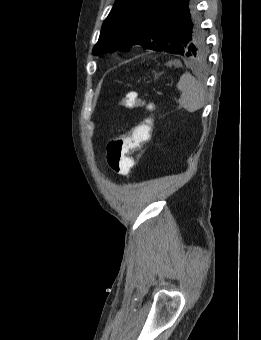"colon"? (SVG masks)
Here are the masks:
<instances>
[{"instance_id": "obj_1", "label": "colon", "mask_w": 261, "mask_h": 340, "mask_svg": "<svg viewBox=\"0 0 261 340\" xmlns=\"http://www.w3.org/2000/svg\"><path fill=\"white\" fill-rule=\"evenodd\" d=\"M125 108H145L152 112L154 103L138 97L136 92H129L121 101ZM153 127V119L147 118L133 127L124 135L112 138L106 147V160L108 166L119 174L127 175L134 166V160L130 156L138 150L150 137Z\"/></svg>"}]
</instances>
